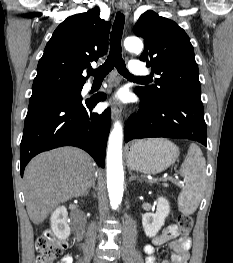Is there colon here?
<instances>
[{
    "label": "colon",
    "instance_id": "obj_1",
    "mask_svg": "<svg viewBox=\"0 0 233 263\" xmlns=\"http://www.w3.org/2000/svg\"><path fill=\"white\" fill-rule=\"evenodd\" d=\"M178 226L184 234H188L193 226L190 215L182 214L177 219ZM36 263H54L67 248V244L59 240L52 232L47 231L36 240Z\"/></svg>",
    "mask_w": 233,
    "mask_h": 263
}]
</instances>
